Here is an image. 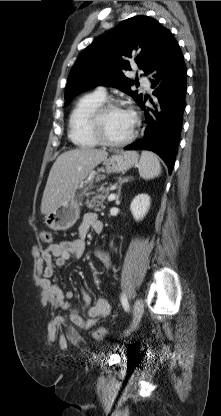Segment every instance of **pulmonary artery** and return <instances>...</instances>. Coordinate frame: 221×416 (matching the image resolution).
<instances>
[{
	"label": "pulmonary artery",
	"mask_w": 221,
	"mask_h": 416,
	"mask_svg": "<svg viewBox=\"0 0 221 416\" xmlns=\"http://www.w3.org/2000/svg\"><path fill=\"white\" fill-rule=\"evenodd\" d=\"M141 83H142V85L147 89V90H149V88H150V83H149V81L148 80H146V79H141ZM97 92L99 93V94H101V95H106V91H105V89L103 88V87H98L97 88Z\"/></svg>",
	"instance_id": "1"
}]
</instances>
